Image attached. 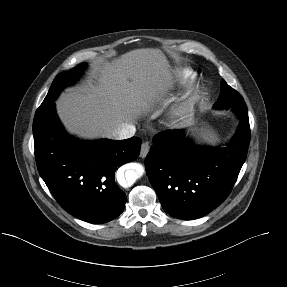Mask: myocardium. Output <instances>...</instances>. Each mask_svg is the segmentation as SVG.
I'll return each instance as SVG.
<instances>
[{"label": "myocardium", "mask_w": 287, "mask_h": 287, "mask_svg": "<svg viewBox=\"0 0 287 287\" xmlns=\"http://www.w3.org/2000/svg\"><path fill=\"white\" fill-rule=\"evenodd\" d=\"M200 94H201L200 88H195L193 92L190 94L188 102L193 103L199 97Z\"/></svg>", "instance_id": "myocardium-1"}]
</instances>
